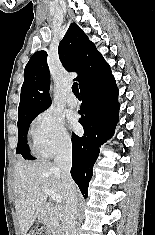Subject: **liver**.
Wrapping results in <instances>:
<instances>
[{
	"label": "liver",
	"instance_id": "liver-1",
	"mask_svg": "<svg viewBox=\"0 0 155 235\" xmlns=\"http://www.w3.org/2000/svg\"><path fill=\"white\" fill-rule=\"evenodd\" d=\"M44 186L59 194L64 201L65 190L61 171L54 163L24 160L17 162L14 173V194L21 235L27 234L46 203L47 193L43 190Z\"/></svg>",
	"mask_w": 155,
	"mask_h": 235
}]
</instances>
